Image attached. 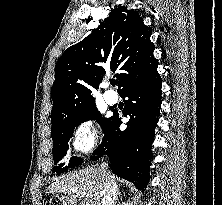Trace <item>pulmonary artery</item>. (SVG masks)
Returning <instances> with one entry per match:
<instances>
[{"label":"pulmonary artery","mask_w":222,"mask_h":205,"mask_svg":"<svg viewBox=\"0 0 222 205\" xmlns=\"http://www.w3.org/2000/svg\"><path fill=\"white\" fill-rule=\"evenodd\" d=\"M104 99L108 104H115L117 102V94L113 91H104Z\"/></svg>","instance_id":"obj_1"}]
</instances>
